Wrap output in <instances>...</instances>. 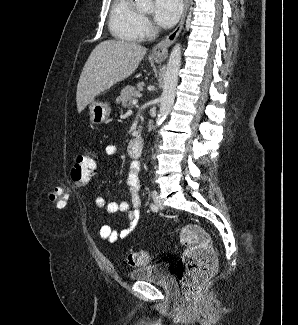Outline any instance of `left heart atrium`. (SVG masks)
Listing matches in <instances>:
<instances>
[{"instance_id": "left-heart-atrium-1", "label": "left heart atrium", "mask_w": 298, "mask_h": 325, "mask_svg": "<svg viewBox=\"0 0 298 325\" xmlns=\"http://www.w3.org/2000/svg\"><path fill=\"white\" fill-rule=\"evenodd\" d=\"M182 12L181 0H155L152 17L157 26L161 28L172 27Z\"/></svg>"}]
</instances>
